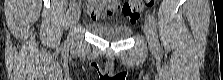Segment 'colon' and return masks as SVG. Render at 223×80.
Listing matches in <instances>:
<instances>
[{
    "mask_svg": "<svg viewBox=\"0 0 223 80\" xmlns=\"http://www.w3.org/2000/svg\"><path fill=\"white\" fill-rule=\"evenodd\" d=\"M94 2L96 3L103 2L108 5H114L116 10H121L122 13L126 17H128L131 22H135L139 18L140 11L152 7L155 3V0H132L129 2H121L116 0H103Z\"/></svg>",
    "mask_w": 223,
    "mask_h": 80,
    "instance_id": "5ec220e1",
    "label": "colon"
}]
</instances>
